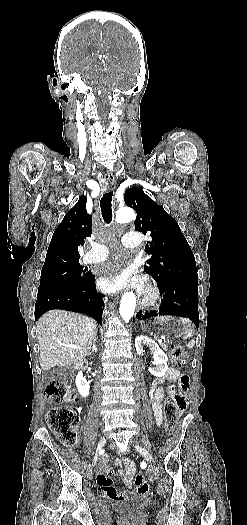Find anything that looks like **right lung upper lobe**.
Returning a JSON list of instances; mask_svg holds the SVG:
<instances>
[{"instance_id": "obj_1", "label": "right lung upper lobe", "mask_w": 247, "mask_h": 525, "mask_svg": "<svg viewBox=\"0 0 247 525\" xmlns=\"http://www.w3.org/2000/svg\"><path fill=\"white\" fill-rule=\"evenodd\" d=\"M87 198L80 196L53 233L43 270L79 262L78 247L92 233L91 216L86 212Z\"/></svg>"}]
</instances>
